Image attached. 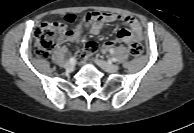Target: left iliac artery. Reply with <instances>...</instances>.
<instances>
[{"mask_svg": "<svg viewBox=\"0 0 194 133\" xmlns=\"http://www.w3.org/2000/svg\"><path fill=\"white\" fill-rule=\"evenodd\" d=\"M109 61L115 62L116 58L112 57V58L109 59Z\"/></svg>", "mask_w": 194, "mask_h": 133, "instance_id": "44dca946", "label": "left iliac artery"}]
</instances>
